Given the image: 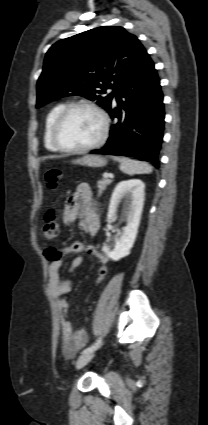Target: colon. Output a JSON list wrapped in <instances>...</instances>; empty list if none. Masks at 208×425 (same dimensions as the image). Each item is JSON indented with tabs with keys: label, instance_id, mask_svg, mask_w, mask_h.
Wrapping results in <instances>:
<instances>
[{
	"label": "colon",
	"instance_id": "1",
	"mask_svg": "<svg viewBox=\"0 0 208 425\" xmlns=\"http://www.w3.org/2000/svg\"><path fill=\"white\" fill-rule=\"evenodd\" d=\"M62 177V170L60 168H47L44 171V179L47 184V186L51 190H55L59 184V181ZM42 234L44 238L47 240H54L59 235V221L56 215V210L52 208L49 210L45 216L44 226ZM45 255L48 259L51 261L60 260L62 258V253L59 249L55 248H49L45 251ZM107 275V268L104 266H101L94 278H93V284L97 285L104 281Z\"/></svg>",
	"mask_w": 208,
	"mask_h": 425
}]
</instances>
